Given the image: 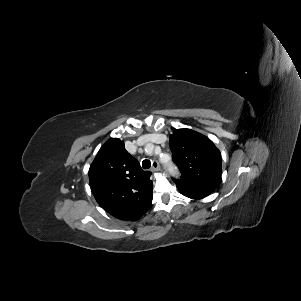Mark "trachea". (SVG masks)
<instances>
[{
  "label": "trachea",
  "mask_w": 301,
  "mask_h": 301,
  "mask_svg": "<svg viewBox=\"0 0 301 301\" xmlns=\"http://www.w3.org/2000/svg\"><path fill=\"white\" fill-rule=\"evenodd\" d=\"M142 167H143L144 169H149V168L151 167V162H150V160H147V159L143 160V161H142Z\"/></svg>",
  "instance_id": "trachea-1"
}]
</instances>
